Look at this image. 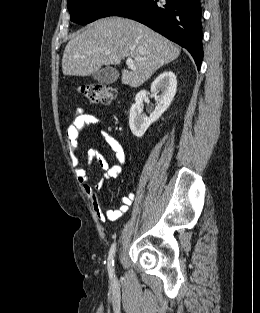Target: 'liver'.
<instances>
[{
  "mask_svg": "<svg viewBox=\"0 0 260 313\" xmlns=\"http://www.w3.org/2000/svg\"><path fill=\"white\" fill-rule=\"evenodd\" d=\"M164 36L131 19H99L74 34L65 47L62 71L67 76H87L102 66L119 65L134 59V68L123 69L122 84L139 87L153 73L180 55Z\"/></svg>",
  "mask_w": 260,
  "mask_h": 313,
  "instance_id": "1",
  "label": "liver"
}]
</instances>
